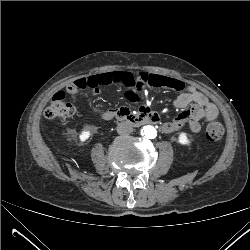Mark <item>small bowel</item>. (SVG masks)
I'll return each mask as SVG.
<instances>
[{"mask_svg":"<svg viewBox=\"0 0 250 250\" xmlns=\"http://www.w3.org/2000/svg\"><path fill=\"white\" fill-rule=\"evenodd\" d=\"M159 76L166 79L161 86L184 91L174 100V105L183 109V111L163 124L162 130L165 133L174 132L184 125H188L193 132H199L201 130V121L210 122L218 117L219 112L216 105L196 86L186 85L183 81L174 77ZM130 88V95L136 97L137 85L131 84ZM96 92H98V89H96Z\"/></svg>","mask_w":250,"mask_h":250,"instance_id":"obj_1","label":"small bowel"}]
</instances>
